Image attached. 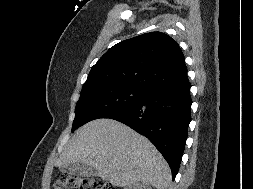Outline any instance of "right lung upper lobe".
I'll use <instances>...</instances> for the list:
<instances>
[{
    "mask_svg": "<svg viewBox=\"0 0 253 189\" xmlns=\"http://www.w3.org/2000/svg\"><path fill=\"white\" fill-rule=\"evenodd\" d=\"M187 78L178 43L162 32H149L111 47L91 68L82 91L108 86L148 89Z\"/></svg>",
    "mask_w": 253,
    "mask_h": 189,
    "instance_id": "cb5924a9",
    "label": "right lung upper lobe"
}]
</instances>
